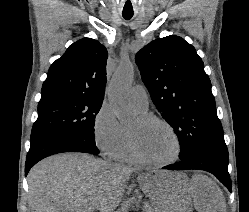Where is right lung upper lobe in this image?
Returning a JSON list of instances; mask_svg holds the SVG:
<instances>
[{
    "label": "right lung upper lobe",
    "mask_w": 249,
    "mask_h": 212,
    "mask_svg": "<svg viewBox=\"0 0 249 212\" xmlns=\"http://www.w3.org/2000/svg\"><path fill=\"white\" fill-rule=\"evenodd\" d=\"M107 57L106 48L98 41L78 40L51 65L41 96L74 94L103 101Z\"/></svg>",
    "instance_id": "right-lung-upper-lobe-1"
}]
</instances>
